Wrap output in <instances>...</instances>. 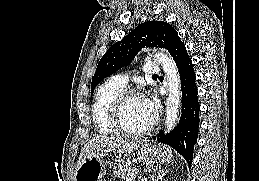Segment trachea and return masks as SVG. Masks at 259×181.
Segmentation results:
<instances>
[{"mask_svg": "<svg viewBox=\"0 0 259 181\" xmlns=\"http://www.w3.org/2000/svg\"><path fill=\"white\" fill-rule=\"evenodd\" d=\"M153 77H157V75H153Z\"/></svg>", "mask_w": 259, "mask_h": 181, "instance_id": "obj_1", "label": "trachea"}]
</instances>
